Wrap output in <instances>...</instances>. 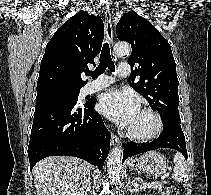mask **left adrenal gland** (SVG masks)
Here are the masks:
<instances>
[{"label": "left adrenal gland", "mask_w": 211, "mask_h": 195, "mask_svg": "<svg viewBox=\"0 0 211 195\" xmlns=\"http://www.w3.org/2000/svg\"><path fill=\"white\" fill-rule=\"evenodd\" d=\"M127 190L130 192H137L136 186H135V181L131 178H127Z\"/></svg>", "instance_id": "1"}]
</instances>
